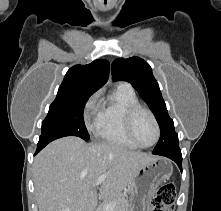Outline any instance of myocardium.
<instances>
[{
    "instance_id": "f54148a6",
    "label": "myocardium",
    "mask_w": 221,
    "mask_h": 211,
    "mask_svg": "<svg viewBox=\"0 0 221 211\" xmlns=\"http://www.w3.org/2000/svg\"><path fill=\"white\" fill-rule=\"evenodd\" d=\"M140 112H146L151 117L155 126L156 137H155L154 142L151 143L150 145L141 144L137 140L135 133H134L135 118ZM124 127H125V132L128 138L139 148H144V149L151 148L155 146L160 139V126H159V123L155 114L149 108L142 106L140 104L131 106L126 110L125 115H124Z\"/></svg>"
}]
</instances>
